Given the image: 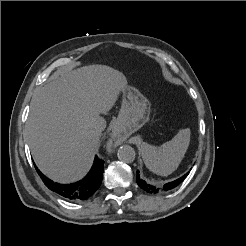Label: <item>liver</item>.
<instances>
[{"mask_svg":"<svg viewBox=\"0 0 246 246\" xmlns=\"http://www.w3.org/2000/svg\"><path fill=\"white\" fill-rule=\"evenodd\" d=\"M127 87L126 77L102 65H90L50 79L34 94L26 124L28 144L39 169L54 181L82 178L99 147L92 129L106 127L101 114Z\"/></svg>","mask_w":246,"mask_h":246,"instance_id":"liver-1","label":"liver"}]
</instances>
